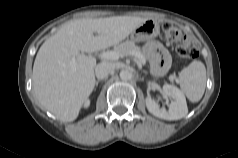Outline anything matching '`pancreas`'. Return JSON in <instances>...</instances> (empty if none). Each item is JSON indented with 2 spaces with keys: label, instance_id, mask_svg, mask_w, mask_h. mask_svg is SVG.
<instances>
[{
  "label": "pancreas",
  "instance_id": "1",
  "mask_svg": "<svg viewBox=\"0 0 238 158\" xmlns=\"http://www.w3.org/2000/svg\"><path fill=\"white\" fill-rule=\"evenodd\" d=\"M114 51L118 52L121 56H128L129 52H136V53H139L141 56H143L145 58V56L142 53L140 47L135 45V43L133 41H130V40L116 45L114 47Z\"/></svg>",
  "mask_w": 238,
  "mask_h": 158
}]
</instances>
